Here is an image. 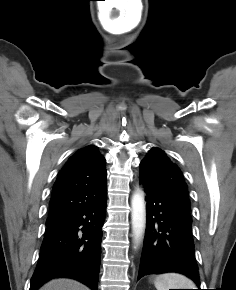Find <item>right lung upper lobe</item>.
<instances>
[{
  "label": "right lung upper lobe",
  "mask_w": 236,
  "mask_h": 290,
  "mask_svg": "<svg viewBox=\"0 0 236 290\" xmlns=\"http://www.w3.org/2000/svg\"><path fill=\"white\" fill-rule=\"evenodd\" d=\"M105 163L94 145L78 150L69 158L53 186L46 224H54L105 196Z\"/></svg>",
  "instance_id": "obj_1"
}]
</instances>
